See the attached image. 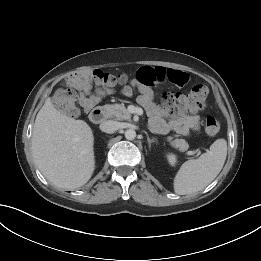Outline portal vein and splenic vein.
I'll use <instances>...</instances> for the list:
<instances>
[{
  "label": "portal vein and splenic vein",
  "instance_id": "obj_1",
  "mask_svg": "<svg viewBox=\"0 0 261 261\" xmlns=\"http://www.w3.org/2000/svg\"><path fill=\"white\" fill-rule=\"evenodd\" d=\"M189 154H190V155H192V154H194V152H192V151H189Z\"/></svg>",
  "mask_w": 261,
  "mask_h": 261
}]
</instances>
